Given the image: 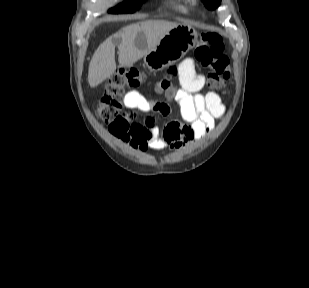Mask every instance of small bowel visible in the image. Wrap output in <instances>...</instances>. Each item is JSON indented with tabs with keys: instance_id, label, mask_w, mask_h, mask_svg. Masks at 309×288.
I'll return each instance as SVG.
<instances>
[{
	"instance_id": "c3829d8e",
	"label": "small bowel",
	"mask_w": 309,
	"mask_h": 288,
	"mask_svg": "<svg viewBox=\"0 0 309 288\" xmlns=\"http://www.w3.org/2000/svg\"><path fill=\"white\" fill-rule=\"evenodd\" d=\"M169 73L179 76L181 87L174 96L184 123L170 121L162 131L155 126L154 117L145 123L133 118L129 123L121 120L111 123V134L132 149L140 152L164 148L180 149L210 133L214 129L215 120L225 113V107L217 93H200L204 77L195 72L192 59L186 58L178 67L169 70ZM124 103L127 108L152 115L167 116L171 111L167 103L148 100L135 90L125 95Z\"/></svg>"
}]
</instances>
